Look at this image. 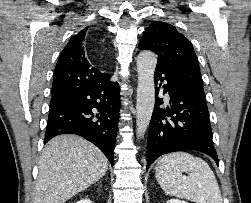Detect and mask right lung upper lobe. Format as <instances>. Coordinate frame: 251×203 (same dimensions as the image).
<instances>
[{
	"instance_id": "1",
	"label": "right lung upper lobe",
	"mask_w": 251,
	"mask_h": 203,
	"mask_svg": "<svg viewBox=\"0 0 251 203\" xmlns=\"http://www.w3.org/2000/svg\"><path fill=\"white\" fill-rule=\"evenodd\" d=\"M88 28L73 36L60 54L54 72L50 105L69 98L85 86L110 78L87 60L84 41Z\"/></svg>"
}]
</instances>
